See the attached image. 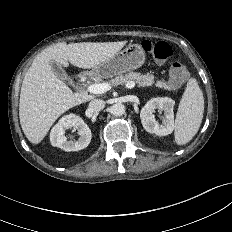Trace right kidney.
<instances>
[{
  "label": "right kidney",
  "instance_id": "1",
  "mask_svg": "<svg viewBox=\"0 0 232 232\" xmlns=\"http://www.w3.org/2000/svg\"><path fill=\"white\" fill-rule=\"evenodd\" d=\"M77 129L80 137L76 141H67L65 131L69 128ZM92 138L91 130L82 118L75 114L63 116L50 132L51 144L64 151H79L86 148Z\"/></svg>",
  "mask_w": 232,
  "mask_h": 232
}]
</instances>
